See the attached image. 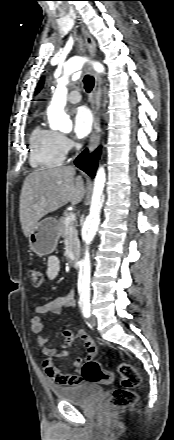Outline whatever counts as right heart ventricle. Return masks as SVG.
Here are the masks:
<instances>
[{
  "label": "right heart ventricle",
  "instance_id": "1",
  "mask_svg": "<svg viewBox=\"0 0 174 440\" xmlns=\"http://www.w3.org/2000/svg\"><path fill=\"white\" fill-rule=\"evenodd\" d=\"M64 159L58 133L37 126L30 136V164L34 168H51L61 165Z\"/></svg>",
  "mask_w": 174,
  "mask_h": 440
}]
</instances>
